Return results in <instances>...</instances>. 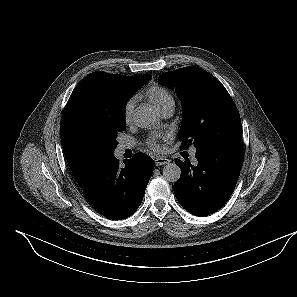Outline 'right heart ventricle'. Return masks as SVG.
<instances>
[{"label": "right heart ventricle", "instance_id": "obj_1", "mask_svg": "<svg viewBox=\"0 0 297 297\" xmlns=\"http://www.w3.org/2000/svg\"><path fill=\"white\" fill-rule=\"evenodd\" d=\"M146 97L161 111L169 103H174L173 96L164 87L151 85L147 88Z\"/></svg>", "mask_w": 297, "mask_h": 297}]
</instances>
